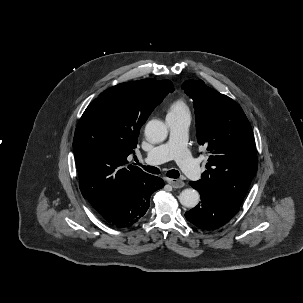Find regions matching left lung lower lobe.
<instances>
[{
    "mask_svg": "<svg viewBox=\"0 0 303 303\" xmlns=\"http://www.w3.org/2000/svg\"><path fill=\"white\" fill-rule=\"evenodd\" d=\"M190 185L198 190L201 202L185 213L188 221L200 229L213 230L226 224L239 211L240 204L226 194L206 188L196 182Z\"/></svg>",
    "mask_w": 303,
    "mask_h": 303,
    "instance_id": "0a47b994",
    "label": "left lung lower lobe"
}]
</instances>
